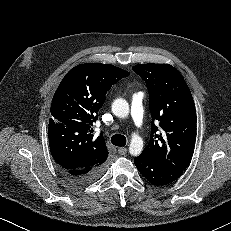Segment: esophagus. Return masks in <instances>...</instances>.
Masks as SVG:
<instances>
[{
    "mask_svg": "<svg viewBox=\"0 0 231 231\" xmlns=\"http://www.w3.org/2000/svg\"><path fill=\"white\" fill-rule=\"evenodd\" d=\"M118 153L120 155H125L127 153V148H125V147H119L118 148Z\"/></svg>",
    "mask_w": 231,
    "mask_h": 231,
    "instance_id": "obj_1",
    "label": "esophagus"
}]
</instances>
